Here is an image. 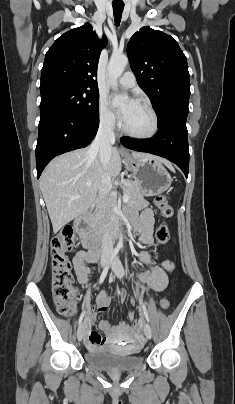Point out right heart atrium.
Instances as JSON below:
<instances>
[{
    "label": "right heart atrium",
    "mask_w": 235,
    "mask_h": 404,
    "mask_svg": "<svg viewBox=\"0 0 235 404\" xmlns=\"http://www.w3.org/2000/svg\"><path fill=\"white\" fill-rule=\"evenodd\" d=\"M98 120L100 126L108 131H112L118 126L117 116L104 97H100L98 101Z\"/></svg>",
    "instance_id": "d8ad5b80"
}]
</instances>
